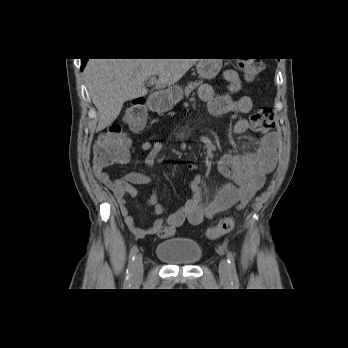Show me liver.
<instances>
[{
	"mask_svg": "<svg viewBox=\"0 0 348 348\" xmlns=\"http://www.w3.org/2000/svg\"><path fill=\"white\" fill-rule=\"evenodd\" d=\"M199 59H90L84 69L101 131L115 121L123 104L146 96L145 82L158 76L155 88L177 83Z\"/></svg>",
	"mask_w": 348,
	"mask_h": 348,
	"instance_id": "1",
	"label": "liver"
}]
</instances>
